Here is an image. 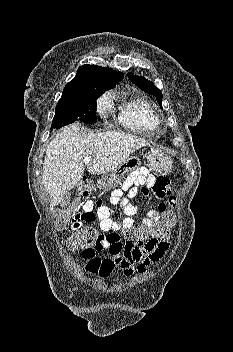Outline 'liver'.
<instances>
[{"label": "liver", "instance_id": "6515ba94", "mask_svg": "<svg viewBox=\"0 0 233 352\" xmlns=\"http://www.w3.org/2000/svg\"><path fill=\"white\" fill-rule=\"evenodd\" d=\"M147 145L145 139L124 132L93 133L79 123L64 128L50 142L43 163L42 181L52 199L51 208L81 180L85 165L90 174H105ZM85 157L92 160L85 163Z\"/></svg>", "mask_w": 233, "mask_h": 352}]
</instances>
